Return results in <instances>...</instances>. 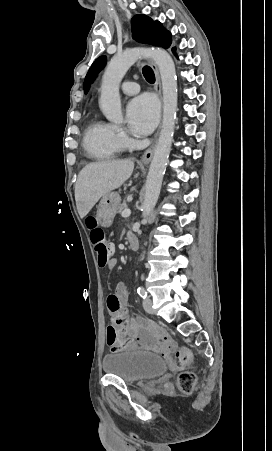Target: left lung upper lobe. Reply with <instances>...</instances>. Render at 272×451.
Segmentation results:
<instances>
[{"instance_id":"1","label":"left lung upper lobe","mask_w":272,"mask_h":451,"mask_svg":"<svg viewBox=\"0 0 272 451\" xmlns=\"http://www.w3.org/2000/svg\"><path fill=\"white\" fill-rule=\"evenodd\" d=\"M131 25L133 38L136 41L163 48H168L171 45V33L160 22L153 21L146 15H135L131 20ZM105 64L106 56H101L94 61L84 80L85 93L88 92L90 84Z\"/></svg>"}]
</instances>
